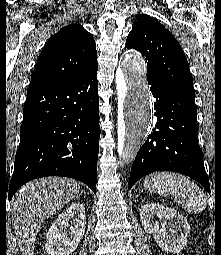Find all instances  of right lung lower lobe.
I'll list each match as a JSON object with an SVG mask.
<instances>
[{"mask_svg":"<svg viewBox=\"0 0 221 255\" xmlns=\"http://www.w3.org/2000/svg\"><path fill=\"white\" fill-rule=\"evenodd\" d=\"M98 65L69 80L28 90L8 198L45 176L82 181L96 193L100 127Z\"/></svg>","mask_w":221,"mask_h":255,"instance_id":"right-lung-lower-lobe-1","label":"right lung lower lobe"}]
</instances>
